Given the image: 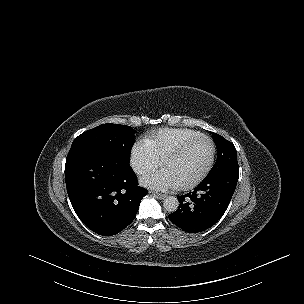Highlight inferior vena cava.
I'll use <instances>...</instances> for the list:
<instances>
[{
  "label": "inferior vena cava",
  "instance_id": "obj_1",
  "mask_svg": "<svg viewBox=\"0 0 304 304\" xmlns=\"http://www.w3.org/2000/svg\"><path fill=\"white\" fill-rule=\"evenodd\" d=\"M135 170H136L137 173L142 172V168H141L140 166H137V167L135 168Z\"/></svg>",
  "mask_w": 304,
  "mask_h": 304
}]
</instances>
